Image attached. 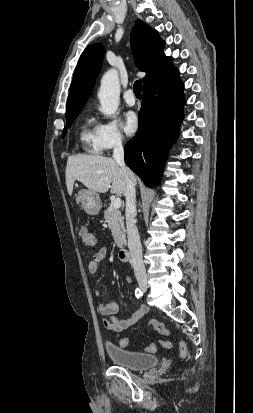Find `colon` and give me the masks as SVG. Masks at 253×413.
Here are the masks:
<instances>
[{
    "label": "colon",
    "mask_w": 253,
    "mask_h": 413,
    "mask_svg": "<svg viewBox=\"0 0 253 413\" xmlns=\"http://www.w3.org/2000/svg\"><path fill=\"white\" fill-rule=\"evenodd\" d=\"M79 235L85 246L94 247L96 245V239L94 235L86 227H81V229L79 230ZM147 325L153 328L155 331H157L161 335H164V336L169 335V329L167 328V326L158 320L152 319L147 323ZM120 343L123 347H126L129 345L130 340L128 338H123L121 339ZM159 347L170 348L171 343L169 341L162 340L157 344H152L148 346L146 350L149 352H155ZM179 352L182 358H185L188 355L187 345L183 341L179 343Z\"/></svg>",
    "instance_id": "colon-1"
}]
</instances>
